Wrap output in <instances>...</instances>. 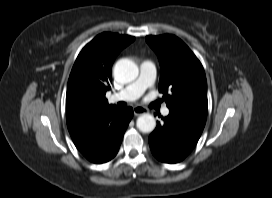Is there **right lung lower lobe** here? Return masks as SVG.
Masks as SVG:
<instances>
[{"label":"right lung lower lobe","mask_w":272,"mask_h":198,"mask_svg":"<svg viewBox=\"0 0 272 198\" xmlns=\"http://www.w3.org/2000/svg\"><path fill=\"white\" fill-rule=\"evenodd\" d=\"M133 109L109 108L98 119L71 135L77 149L91 162L104 163L115 157Z\"/></svg>","instance_id":"98d812e1"}]
</instances>
